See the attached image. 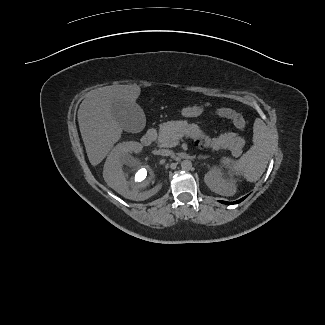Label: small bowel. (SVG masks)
Masks as SVG:
<instances>
[{
	"label": "small bowel",
	"mask_w": 325,
	"mask_h": 325,
	"mask_svg": "<svg viewBox=\"0 0 325 325\" xmlns=\"http://www.w3.org/2000/svg\"><path fill=\"white\" fill-rule=\"evenodd\" d=\"M198 145H199L200 147H204V142H203V141H199V142H198Z\"/></svg>",
	"instance_id": "1"
}]
</instances>
